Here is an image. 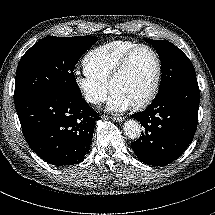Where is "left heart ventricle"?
Segmentation results:
<instances>
[{
  "label": "left heart ventricle",
  "instance_id": "1",
  "mask_svg": "<svg viewBox=\"0 0 215 215\" xmlns=\"http://www.w3.org/2000/svg\"><path fill=\"white\" fill-rule=\"evenodd\" d=\"M156 71L152 53L147 49L138 50L121 76L113 83L111 92L124 96L131 105L144 99L147 95Z\"/></svg>",
  "mask_w": 215,
  "mask_h": 215
}]
</instances>
